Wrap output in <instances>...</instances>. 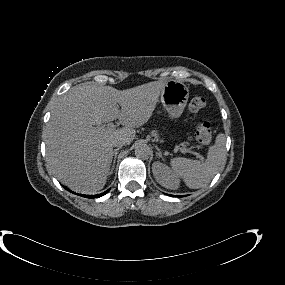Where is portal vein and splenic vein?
<instances>
[{
  "instance_id": "1",
  "label": "portal vein and splenic vein",
  "mask_w": 285,
  "mask_h": 285,
  "mask_svg": "<svg viewBox=\"0 0 285 285\" xmlns=\"http://www.w3.org/2000/svg\"><path fill=\"white\" fill-rule=\"evenodd\" d=\"M104 127L102 126V127H99V129H103ZM108 128H115V125L113 124V123H110L109 125H108ZM180 151H181V153H183V154H185L186 153V150L185 149H180Z\"/></svg>"
}]
</instances>
